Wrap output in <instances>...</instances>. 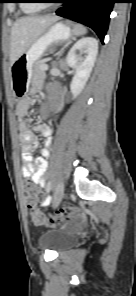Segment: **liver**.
Here are the masks:
<instances>
[{"label":"liver","instance_id":"1","mask_svg":"<svg viewBox=\"0 0 136 296\" xmlns=\"http://www.w3.org/2000/svg\"><path fill=\"white\" fill-rule=\"evenodd\" d=\"M59 17L27 16L17 19L11 29V65L36 41V39Z\"/></svg>","mask_w":136,"mask_h":296}]
</instances>
